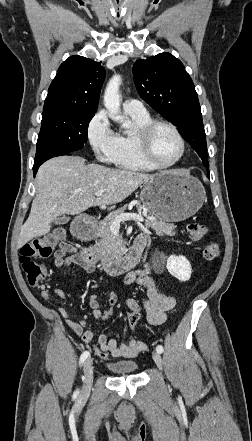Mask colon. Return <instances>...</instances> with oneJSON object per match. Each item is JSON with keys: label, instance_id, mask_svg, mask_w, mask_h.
I'll return each instance as SVG.
<instances>
[{"label": "colon", "instance_id": "1", "mask_svg": "<svg viewBox=\"0 0 252 441\" xmlns=\"http://www.w3.org/2000/svg\"><path fill=\"white\" fill-rule=\"evenodd\" d=\"M208 227L206 225L192 222L188 225V233L192 240L199 241L208 234ZM64 232L61 229H55L47 235L36 238L20 249V264L26 275L27 281L31 286H38L47 276V271L44 266L37 263L35 260L39 258L49 257L55 248H64L63 243ZM220 246L216 242H209L203 249V258L206 261H213L220 255ZM119 315L123 317L131 328H136L141 319V311L137 308L126 307L118 309L115 305L108 306L102 311L100 315L101 320H110ZM100 358H108L109 354L101 350L96 351Z\"/></svg>", "mask_w": 252, "mask_h": 441}]
</instances>
